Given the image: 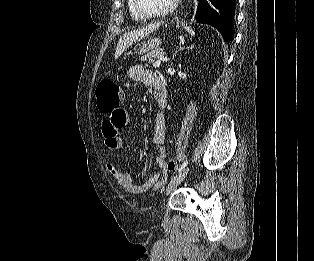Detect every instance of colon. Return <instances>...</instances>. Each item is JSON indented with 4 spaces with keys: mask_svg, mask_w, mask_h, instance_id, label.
I'll return each instance as SVG.
<instances>
[{
    "mask_svg": "<svg viewBox=\"0 0 314 261\" xmlns=\"http://www.w3.org/2000/svg\"><path fill=\"white\" fill-rule=\"evenodd\" d=\"M97 107L101 114L108 115L112 109H119L123 93L120 87L112 80L105 79L99 82L96 87ZM177 168V162L169 160L166 163V169L174 172Z\"/></svg>",
    "mask_w": 314,
    "mask_h": 261,
    "instance_id": "obj_1",
    "label": "colon"
}]
</instances>
